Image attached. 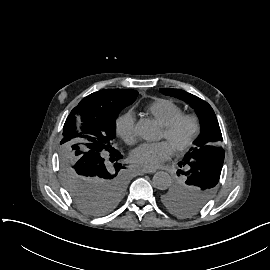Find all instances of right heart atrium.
<instances>
[{"label":"right heart atrium","instance_id":"1","mask_svg":"<svg viewBox=\"0 0 270 270\" xmlns=\"http://www.w3.org/2000/svg\"><path fill=\"white\" fill-rule=\"evenodd\" d=\"M115 130L128 145H134L137 142L136 119L132 112L129 111L117 119Z\"/></svg>","mask_w":270,"mask_h":270}]
</instances>
